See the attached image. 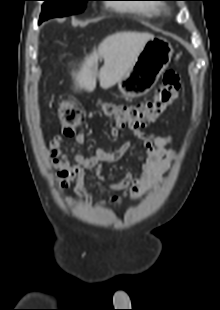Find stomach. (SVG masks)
Masks as SVG:
<instances>
[{
    "label": "stomach",
    "instance_id": "obj_1",
    "mask_svg": "<svg viewBox=\"0 0 220 310\" xmlns=\"http://www.w3.org/2000/svg\"><path fill=\"white\" fill-rule=\"evenodd\" d=\"M172 53L171 44L163 37L147 41L133 66L117 82L119 91L129 98L147 94L168 67Z\"/></svg>",
    "mask_w": 220,
    "mask_h": 310
}]
</instances>
